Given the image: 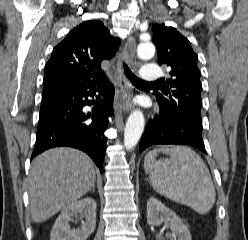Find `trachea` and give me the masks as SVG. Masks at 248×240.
<instances>
[{
    "mask_svg": "<svg viewBox=\"0 0 248 240\" xmlns=\"http://www.w3.org/2000/svg\"><path fill=\"white\" fill-rule=\"evenodd\" d=\"M124 72L127 76V78L134 84H154L156 82H144L141 79H139L138 77H136L131 70L129 69V67L124 64Z\"/></svg>",
    "mask_w": 248,
    "mask_h": 240,
    "instance_id": "obj_1",
    "label": "trachea"
}]
</instances>
